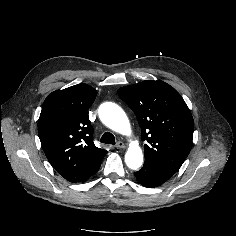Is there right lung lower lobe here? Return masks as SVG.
<instances>
[{
	"label": "right lung lower lobe",
	"mask_w": 236,
	"mask_h": 236,
	"mask_svg": "<svg viewBox=\"0 0 236 236\" xmlns=\"http://www.w3.org/2000/svg\"><path fill=\"white\" fill-rule=\"evenodd\" d=\"M99 169V168H98ZM98 169L95 171V172H93L90 176H92L93 174H95L97 171H98ZM90 176H88L84 181H82V182H85L86 180H88V178L90 177Z\"/></svg>",
	"instance_id": "right-lung-lower-lobe-1"
}]
</instances>
